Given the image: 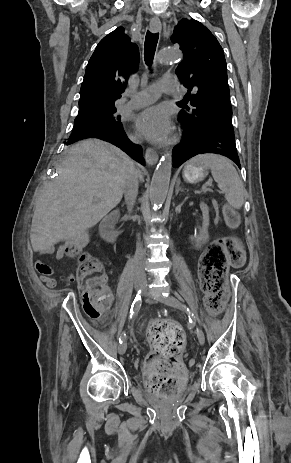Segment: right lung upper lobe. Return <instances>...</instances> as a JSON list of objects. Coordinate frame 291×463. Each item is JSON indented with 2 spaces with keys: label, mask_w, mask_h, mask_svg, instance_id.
<instances>
[{
  "label": "right lung upper lobe",
  "mask_w": 291,
  "mask_h": 463,
  "mask_svg": "<svg viewBox=\"0 0 291 463\" xmlns=\"http://www.w3.org/2000/svg\"><path fill=\"white\" fill-rule=\"evenodd\" d=\"M139 65V49L118 27L97 45L86 67L77 117L113 108L130 73Z\"/></svg>",
  "instance_id": "1"
}]
</instances>
